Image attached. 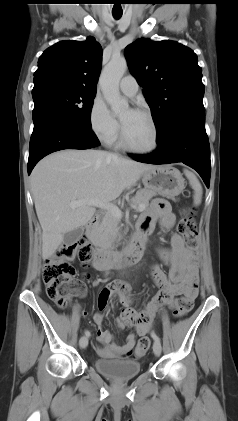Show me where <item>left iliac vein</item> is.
<instances>
[{"mask_svg": "<svg viewBox=\"0 0 238 421\" xmlns=\"http://www.w3.org/2000/svg\"><path fill=\"white\" fill-rule=\"evenodd\" d=\"M161 350H162L161 343L159 341H154L153 343L154 354L156 356H159L161 354Z\"/></svg>", "mask_w": 238, "mask_h": 421, "instance_id": "obj_1", "label": "left iliac vein"}]
</instances>
